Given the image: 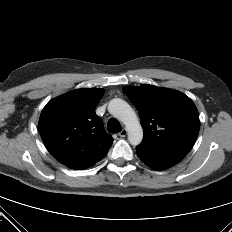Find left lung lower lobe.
Here are the masks:
<instances>
[{
	"mask_svg": "<svg viewBox=\"0 0 232 232\" xmlns=\"http://www.w3.org/2000/svg\"><path fill=\"white\" fill-rule=\"evenodd\" d=\"M137 154L146 165L156 170L170 168L179 163L186 155L185 153L149 154L141 151H137Z\"/></svg>",
	"mask_w": 232,
	"mask_h": 232,
	"instance_id": "1",
	"label": "left lung lower lobe"
}]
</instances>
